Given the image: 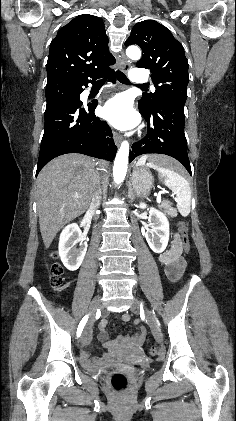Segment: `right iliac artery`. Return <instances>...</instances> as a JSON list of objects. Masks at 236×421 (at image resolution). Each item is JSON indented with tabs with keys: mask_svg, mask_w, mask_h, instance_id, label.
Segmentation results:
<instances>
[{
	"mask_svg": "<svg viewBox=\"0 0 236 421\" xmlns=\"http://www.w3.org/2000/svg\"><path fill=\"white\" fill-rule=\"evenodd\" d=\"M87 320H88V315H85L77 328V337H80Z\"/></svg>",
	"mask_w": 236,
	"mask_h": 421,
	"instance_id": "obj_1",
	"label": "right iliac artery"
}]
</instances>
